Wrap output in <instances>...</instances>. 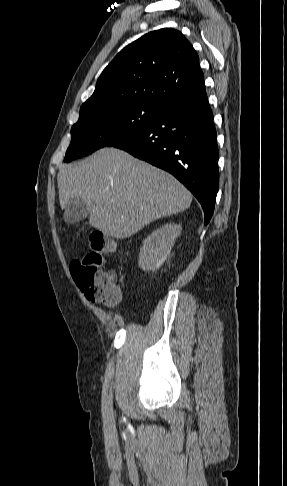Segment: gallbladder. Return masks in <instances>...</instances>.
<instances>
[{
    "label": "gallbladder",
    "mask_w": 287,
    "mask_h": 486,
    "mask_svg": "<svg viewBox=\"0 0 287 486\" xmlns=\"http://www.w3.org/2000/svg\"><path fill=\"white\" fill-rule=\"evenodd\" d=\"M89 214L87 203L81 197L71 198L64 209V221L67 224L78 223Z\"/></svg>",
    "instance_id": "1"
}]
</instances>
